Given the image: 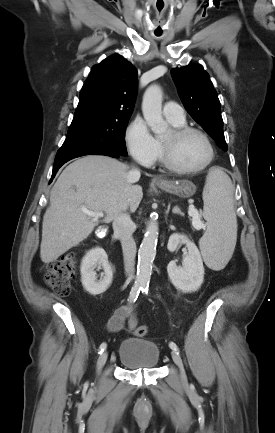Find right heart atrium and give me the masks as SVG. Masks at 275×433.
I'll use <instances>...</instances> for the list:
<instances>
[{
  "label": "right heart atrium",
  "instance_id": "d8ad5b80",
  "mask_svg": "<svg viewBox=\"0 0 275 433\" xmlns=\"http://www.w3.org/2000/svg\"><path fill=\"white\" fill-rule=\"evenodd\" d=\"M125 142L130 155L141 165L151 166L160 154V144L142 117L134 118L125 131Z\"/></svg>",
  "mask_w": 275,
  "mask_h": 433
}]
</instances>
